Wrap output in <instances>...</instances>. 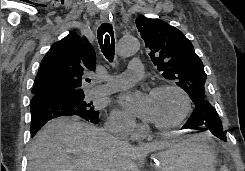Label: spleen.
<instances>
[{
  "instance_id": "1",
  "label": "spleen",
  "mask_w": 245,
  "mask_h": 171,
  "mask_svg": "<svg viewBox=\"0 0 245 171\" xmlns=\"http://www.w3.org/2000/svg\"><path fill=\"white\" fill-rule=\"evenodd\" d=\"M219 171H230L226 166H222Z\"/></svg>"
}]
</instances>
